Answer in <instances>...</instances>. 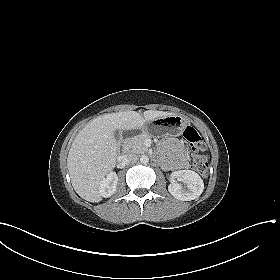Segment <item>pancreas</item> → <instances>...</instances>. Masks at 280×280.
<instances>
[{
	"instance_id": "obj_1",
	"label": "pancreas",
	"mask_w": 280,
	"mask_h": 280,
	"mask_svg": "<svg viewBox=\"0 0 280 280\" xmlns=\"http://www.w3.org/2000/svg\"><path fill=\"white\" fill-rule=\"evenodd\" d=\"M147 138H149V135L146 133H142L128 140L126 146L130 149V151L134 153L137 154L145 153L148 150L147 147L144 145V141Z\"/></svg>"
}]
</instances>
